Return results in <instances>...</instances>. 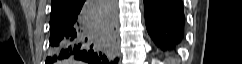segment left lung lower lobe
Instances as JSON below:
<instances>
[{"mask_svg": "<svg viewBox=\"0 0 242 64\" xmlns=\"http://www.w3.org/2000/svg\"><path fill=\"white\" fill-rule=\"evenodd\" d=\"M149 35L162 51L174 49L184 37L182 0H144Z\"/></svg>", "mask_w": 242, "mask_h": 64, "instance_id": "left-lung-lower-lobe-1", "label": "left lung lower lobe"}]
</instances>
